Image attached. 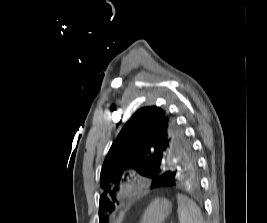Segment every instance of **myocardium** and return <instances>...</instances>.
I'll list each match as a JSON object with an SVG mask.
<instances>
[{
	"label": "myocardium",
	"mask_w": 267,
	"mask_h": 223,
	"mask_svg": "<svg viewBox=\"0 0 267 223\" xmlns=\"http://www.w3.org/2000/svg\"><path fill=\"white\" fill-rule=\"evenodd\" d=\"M140 183L136 180L122 182L117 189V196L123 200L135 198L139 193Z\"/></svg>",
	"instance_id": "1"
}]
</instances>
